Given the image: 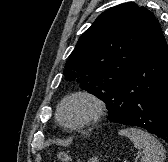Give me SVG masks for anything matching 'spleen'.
<instances>
[{
  "instance_id": "obj_1",
  "label": "spleen",
  "mask_w": 168,
  "mask_h": 162,
  "mask_svg": "<svg viewBox=\"0 0 168 162\" xmlns=\"http://www.w3.org/2000/svg\"><path fill=\"white\" fill-rule=\"evenodd\" d=\"M119 135L128 137L135 148L142 150L141 162H163L165 160L164 147L150 133L138 128H127L120 130Z\"/></svg>"
}]
</instances>
